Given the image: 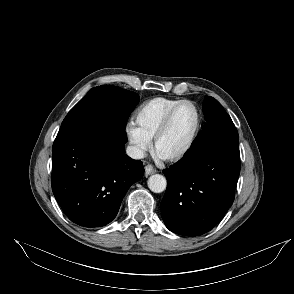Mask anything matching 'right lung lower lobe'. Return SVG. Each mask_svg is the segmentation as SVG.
<instances>
[{
    "instance_id": "1",
    "label": "right lung lower lobe",
    "mask_w": 294,
    "mask_h": 294,
    "mask_svg": "<svg viewBox=\"0 0 294 294\" xmlns=\"http://www.w3.org/2000/svg\"><path fill=\"white\" fill-rule=\"evenodd\" d=\"M97 102L113 97L104 88H92ZM125 128L111 126L57 136L52 148V190L68 218L84 227L111 222L129 187L139 181L141 161L125 154Z\"/></svg>"
}]
</instances>
